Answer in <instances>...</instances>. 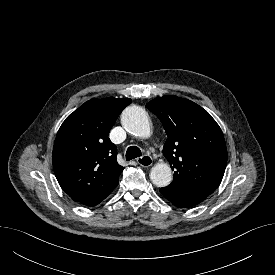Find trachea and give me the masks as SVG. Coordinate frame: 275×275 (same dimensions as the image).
Here are the masks:
<instances>
[{
  "mask_svg": "<svg viewBox=\"0 0 275 275\" xmlns=\"http://www.w3.org/2000/svg\"><path fill=\"white\" fill-rule=\"evenodd\" d=\"M142 155L141 150L137 146H130L126 151V160H132Z\"/></svg>",
  "mask_w": 275,
  "mask_h": 275,
  "instance_id": "1",
  "label": "trachea"
}]
</instances>
